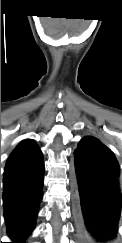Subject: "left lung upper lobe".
<instances>
[{"mask_svg": "<svg viewBox=\"0 0 122 243\" xmlns=\"http://www.w3.org/2000/svg\"><path fill=\"white\" fill-rule=\"evenodd\" d=\"M99 147H106L103 145L98 139L94 137H84L82 140H80L78 144V148L76 149L75 153V159H74V164L76 165L77 162L79 161L80 157L87 152H91L93 150H98Z\"/></svg>", "mask_w": 122, "mask_h": 243, "instance_id": "obj_1", "label": "left lung upper lobe"}]
</instances>
